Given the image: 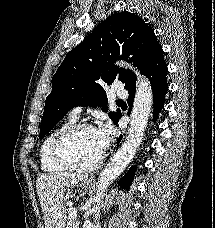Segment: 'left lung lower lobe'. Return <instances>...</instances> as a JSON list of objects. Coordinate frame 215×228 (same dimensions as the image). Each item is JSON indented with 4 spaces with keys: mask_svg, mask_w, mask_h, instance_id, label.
I'll return each mask as SVG.
<instances>
[{
    "mask_svg": "<svg viewBox=\"0 0 215 228\" xmlns=\"http://www.w3.org/2000/svg\"><path fill=\"white\" fill-rule=\"evenodd\" d=\"M164 52L161 49L152 63L150 64L149 68L147 69L145 76L149 78L153 96H154V110H153V121H156L159 112L163 108L165 102V94L167 93V65L164 61ZM135 88L136 85L134 84L129 90V99L128 104L132 105L134 96H135ZM122 114L120 115V117ZM122 135H120L117 144L121 141ZM136 167H131L127 174L118 182V185L123 187L124 189L129 190L130 185L133 181V176L135 173Z\"/></svg>",
    "mask_w": 215,
    "mask_h": 228,
    "instance_id": "1",
    "label": "left lung lower lobe"
}]
</instances>
